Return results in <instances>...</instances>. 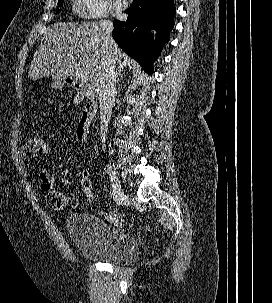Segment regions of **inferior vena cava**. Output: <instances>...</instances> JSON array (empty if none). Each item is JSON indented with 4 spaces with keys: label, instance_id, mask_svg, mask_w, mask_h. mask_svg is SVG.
I'll return each mask as SVG.
<instances>
[{
    "label": "inferior vena cava",
    "instance_id": "602c4592",
    "mask_svg": "<svg viewBox=\"0 0 272 303\" xmlns=\"http://www.w3.org/2000/svg\"><path fill=\"white\" fill-rule=\"evenodd\" d=\"M105 35V52L106 56L102 62V73L100 75L99 86V103H100V140L103 143L102 148H105L106 132L110 122L112 108L115 99V86L118 70L112 54L111 47L114 44L112 38L113 23L107 16L99 22Z\"/></svg>",
    "mask_w": 272,
    "mask_h": 303
}]
</instances>
